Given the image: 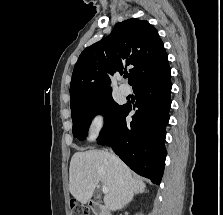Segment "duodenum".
Instances as JSON below:
<instances>
[{"label": "duodenum", "instance_id": "duodenum-1", "mask_svg": "<svg viewBox=\"0 0 223 215\" xmlns=\"http://www.w3.org/2000/svg\"><path fill=\"white\" fill-rule=\"evenodd\" d=\"M91 209H92L93 215H106L101 201H93L91 203Z\"/></svg>", "mask_w": 223, "mask_h": 215}]
</instances>
